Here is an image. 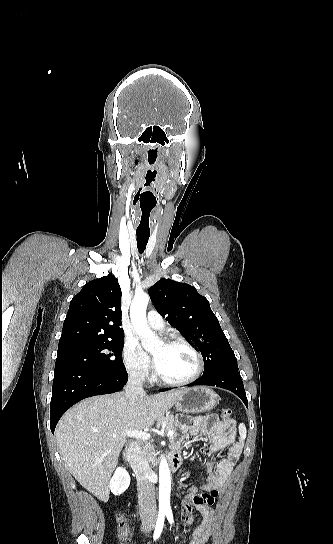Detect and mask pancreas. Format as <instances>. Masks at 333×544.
<instances>
[{
	"instance_id": "obj_1",
	"label": "pancreas",
	"mask_w": 333,
	"mask_h": 544,
	"mask_svg": "<svg viewBox=\"0 0 333 544\" xmlns=\"http://www.w3.org/2000/svg\"><path fill=\"white\" fill-rule=\"evenodd\" d=\"M165 423L166 424V430H175L180 424L177 420H175L173 415H167L159 420V424ZM174 439V436L171 438ZM153 450V446L149 443L145 445V451L147 452V456L151 457L153 456V453H149Z\"/></svg>"
}]
</instances>
